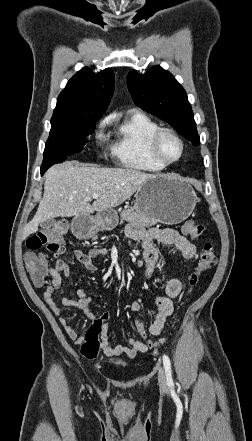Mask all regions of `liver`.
<instances>
[{
    "instance_id": "1",
    "label": "liver",
    "mask_w": 252,
    "mask_h": 441,
    "mask_svg": "<svg viewBox=\"0 0 252 441\" xmlns=\"http://www.w3.org/2000/svg\"><path fill=\"white\" fill-rule=\"evenodd\" d=\"M154 176L134 169L78 166L72 162L54 165L45 174L43 197L35 216L24 228L23 239L37 232L45 220L117 207ZM94 193L99 198L91 205Z\"/></svg>"
}]
</instances>
